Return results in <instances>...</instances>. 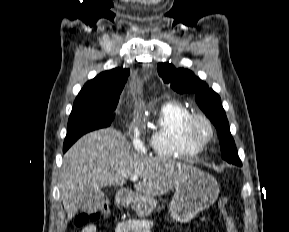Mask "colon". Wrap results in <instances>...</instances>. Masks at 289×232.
I'll list each match as a JSON object with an SVG mask.
<instances>
[{
    "label": "colon",
    "mask_w": 289,
    "mask_h": 232,
    "mask_svg": "<svg viewBox=\"0 0 289 232\" xmlns=\"http://www.w3.org/2000/svg\"><path fill=\"white\" fill-rule=\"evenodd\" d=\"M217 207L224 221L226 232H237L236 224L228 211V199L221 196L217 200ZM109 207L105 204L100 210L91 213H81L75 219L77 227L84 226L88 221H98L109 216Z\"/></svg>",
    "instance_id": "colon-1"
}]
</instances>
